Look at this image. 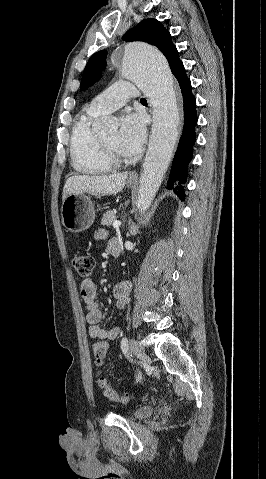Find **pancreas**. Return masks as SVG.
I'll list each match as a JSON object with an SVG mask.
<instances>
[{
	"instance_id": "obj_1",
	"label": "pancreas",
	"mask_w": 266,
	"mask_h": 479,
	"mask_svg": "<svg viewBox=\"0 0 266 479\" xmlns=\"http://www.w3.org/2000/svg\"><path fill=\"white\" fill-rule=\"evenodd\" d=\"M116 221V212L114 210H108L103 214L101 224L104 226H110Z\"/></svg>"
}]
</instances>
